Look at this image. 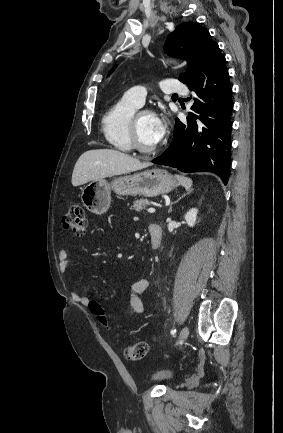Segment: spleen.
I'll return each instance as SVG.
<instances>
[{
  "mask_svg": "<svg viewBox=\"0 0 283 433\" xmlns=\"http://www.w3.org/2000/svg\"><path fill=\"white\" fill-rule=\"evenodd\" d=\"M179 184H182V186H185L186 190H189L192 186L193 180L191 178H186V176H180V174H175Z\"/></svg>",
  "mask_w": 283,
  "mask_h": 433,
  "instance_id": "3e777b00",
  "label": "spleen"
}]
</instances>
